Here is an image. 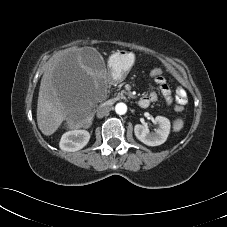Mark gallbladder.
Masks as SVG:
<instances>
[{"label":"gallbladder","instance_id":"1","mask_svg":"<svg viewBox=\"0 0 227 227\" xmlns=\"http://www.w3.org/2000/svg\"><path fill=\"white\" fill-rule=\"evenodd\" d=\"M81 54L84 65L91 68L94 73L99 74L106 71L107 66L97 50L87 47L82 50Z\"/></svg>","mask_w":227,"mask_h":227}]
</instances>
